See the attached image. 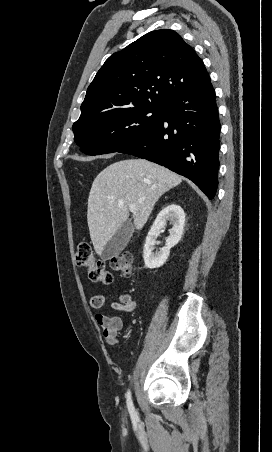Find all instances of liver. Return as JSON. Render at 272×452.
<instances>
[{
	"label": "liver",
	"mask_w": 272,
	"mask_h": 452,
	"mask_svg": "<svg viewBox=\"0 0 272 452\" xmlns=\"http://www.w3.org/2000/svg\"><path fill=\"white\" fill-rule=\"evenodd\" d=\"M181 181L178 174L145 159L121 160L102 170L92 183L87 210L97 255L102 256L104 246L127 221L130 204L135 205L133 232L142 229L158 199Z\"/></svg>",
	"instance_id": "6515ba94"
}]
</instances>
